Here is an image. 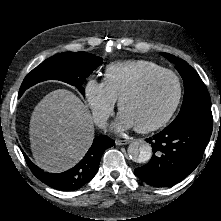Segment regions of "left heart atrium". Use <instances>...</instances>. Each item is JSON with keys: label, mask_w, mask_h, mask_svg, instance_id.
I'll return each instance as SVG.
<instances>
[{"label": "left heart atrium", "mask_w": 221, "mask_h": 221, "mask_svg": "<svg viewBox=\"0 0 221 221\" xmlns=\"http://www.w3.org/2000/svg\"><path fill=\"white\" fill-rule=\"evenodd\" d=\"M116 127L118 129H129L134 127V123L125 113L121 112L118 116Z\"/></svg>", "instance_id": "left-heart-atrium-1"}]
</instances>
